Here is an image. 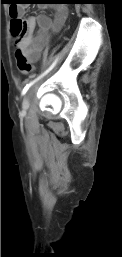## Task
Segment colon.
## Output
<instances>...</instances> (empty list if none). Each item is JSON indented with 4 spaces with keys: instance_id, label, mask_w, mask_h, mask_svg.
<instances>
[{
    "instance_id": "colon-1",
    "label": "colon",
    "mask_w": 122,
    "mask_h": 257,
    "mask_svg": "<svg viewBox=\"0 0 122 257\" xmlns=\"http://www.w3.org/2000/svg\"><path fill=\"white\" fill-rule=\"evenodd\" d=\"M8 10L11 17V33L15 38H21L26 30V22L22 18L20 10H28V5H8ZM15 60L20 72L23 74L32 72V64L18 49L15 52Z\"/></svg>"
}]
</instances>
